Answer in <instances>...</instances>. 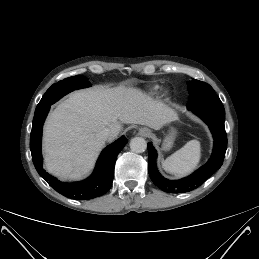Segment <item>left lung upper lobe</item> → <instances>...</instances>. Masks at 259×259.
I'll return each mask as SVG.
<instances>
[{"label":"left lung upper lobe","mask_w":259,"mask_h":259,"mask_svg":"<svg viewBox=\"0 0 259 259\" xmlns=\"http://www.w3.org/2000/svg\"><path fill=\"white\" fill-rule=\"evenodd\" d=\"M189 100L187 108L221 103V100L214 92L213 88L202 81H188Z\"/></svg>","instance_id":"1"}]
</instances>
